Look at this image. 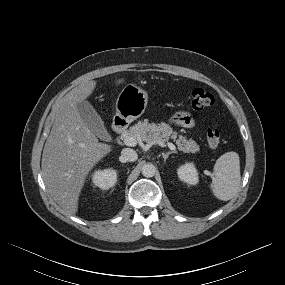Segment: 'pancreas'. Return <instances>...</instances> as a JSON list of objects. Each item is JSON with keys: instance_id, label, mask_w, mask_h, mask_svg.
Returning <instances> with one entry per match:
<instances>
[{"instance_id": "cf45deb5", "label": "pancreas", "mask_w": 285, "mask_h": 285, "mask_svg": "<svg viewBox=\"0 0 285 285\" xmlns=\"http://www.w3.org/2000/svg\"><path fill=\"white\" fill-rule=\"evenodd\" d=\"M125 137H135L147 143H165L169 138L176 141L179 150L185 153H195L200 150L199 145L186 136L179 135L166 123H149L147 120L139 121L125 132Z\"/></svg>"}]
</instances>
